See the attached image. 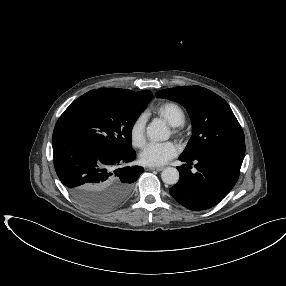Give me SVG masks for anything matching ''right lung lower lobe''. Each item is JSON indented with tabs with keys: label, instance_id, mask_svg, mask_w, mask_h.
Returning <instances> with one entry per match:
<instances>
[{
	"label": "right lung lower lobe",
	"instance_id": "right-lung-lower-lobe-1",
	"mask_svg": "<svg viewBox=\"0 0 286 286\" xmlns=\"http://www.w3.org/2000/svg\"><path fill=\"white\" fill-rule=\"evenodd\" d=\"M56 173L69 192L83 205L106 210L122 203L143 168L128 166L135 151L113 152L81 138L57 122L52 138Z\"/></svg>",
	"mask_w": 286,
	"mask_h": 286
}]
</instances>
